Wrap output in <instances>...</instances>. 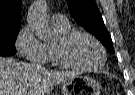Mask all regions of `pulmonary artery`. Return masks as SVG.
I'll return each instance as SVG.
<instances>
[{"instance_id": "e3ab8cb5", "label": "pulmonary artery", "mask_w": 135, "mask_h": 95, "mask_svg": "<svg viewBox=\"0 0 135 95\" xmlns=\"http://www.w3.org/2000/svg\"><path fill=\"white\" fill-rule=\"evenodd\" d=\"M52 23L56 25H63L67 23L66 17L63 14H55L52 17Z\"/></svg>"}]
</instances>
